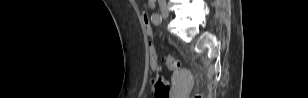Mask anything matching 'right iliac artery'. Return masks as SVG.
<instances>
[{
    "label": "right iliac artery",
    "instance_id": "1",
    "mask_svg": "<svg viewBox=\"0 0 308 98\" xmlns=\"http://www.w3.org/2000/svg\"><path fill=\"white\" fill-rule=\"evenodd\" d=\"M151 20H152L153 24L159 25L162 22V17H161V15L155 13L151 16Z\"/></svg>",
    "mask_w": 308,
    "mask_h": 98
}]
</instances>
